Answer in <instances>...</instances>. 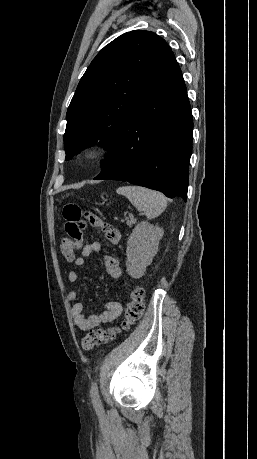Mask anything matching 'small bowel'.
Returning a JSON list of instances; mask_svg holds the SVG:
<instances>
[{
    "mask_svg": "<svg viewBox=\"0 0 257 459\" xmlns=\"http://www.w3.org/2000/svg\"><path fill=\"white\" fill-rule=\"evenodd\" d=\"M62 220L66 222L67 227L64 229L65 236H70L76 251H81V255L74 260V265L82 267L86 259L93 253L101 249L99 242L88 243V236H91L92 229L90 224L103 232L105 238L113 245H117L121 240L119 230L106 224L102 219L93 215L92 208L86 205H75L73 200H68L66 205L62 206ZM90 222V223H89ZM82 228V229H80ZM104 266L109 276L115 280L121 277L122 271L119 260L112 255H105L103 258ZM68 281L76 283L79 280V273L71 270L68 273ZM79 292L73 289L69 292L68 298L73 301L71 314L74 324L80 330L86 331L99 325L110 323L116 320L122 313V305L118 301L106 302L100 314L86 317L84 315V306L81 302L76 301Z\"/></svg>",
    "mask_w": 257,
    "mask_h": 459,
    "instance_id": "c3829d8e",
    "label": "small bowel"
}]
</instances>
